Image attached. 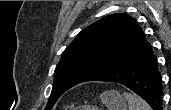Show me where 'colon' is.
Wrapping results in <instances>:
<instances>
[{
  "instance_id": "5ec220e1",
  "label": "colon",
  "mask_w": 171,
  "mask_h": 110,
  "mask_svg": "<svg viewBox=\"0 0 171 110\" xmlns=\"http://www.w3.org/2000/svg\"><path fill=\"white\" fill-rule=\"evenodd\" d=\"M73 110H90V109L87 108V106H78V107H75Z\"/></svg>"
}]
</instances>
